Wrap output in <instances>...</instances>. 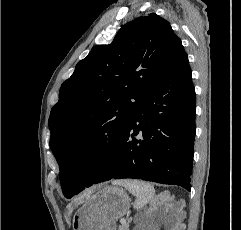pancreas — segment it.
<instances>
[{"mask_svg": "<svg viewBox=\"0 0 241 230\" xmlns=\"http://www.w3.org/2000/svg\"><path fill=\"white\" fill-rule=\"evenodd\" d=\"M129 224L121 225L118 230H128Z\"/></svg>", "mask_w": 241, "mask_h": 230, "instance_id": "1", "label": "pancreas"}]
</instances>
